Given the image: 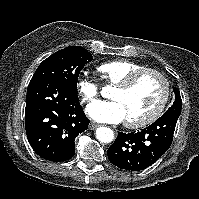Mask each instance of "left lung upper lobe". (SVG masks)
<instances>
[{
  "label": "left lung upper lobe",
  "instance_id": "1",
  "mask_svg": "<svg viewBox=\"0 0 199 199\" xmlns=\"http://www.w3.org/2000/svg\"><path fill=\"white\" fill-rule=\"evenodd\" d=\"M175 93V101L173 105L163 115H176L180 116L182 108L181 96L176 88L173 89Z\"/></svg>",
  "mask_w": 199,
  "mask_h": 199
}]
</instances>
